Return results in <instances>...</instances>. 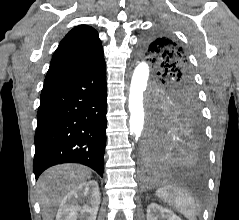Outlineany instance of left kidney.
I'll use <instances>...</instances> for the list:
<instances>
[{
  "label": "left kidney",
  "instance_id": "left-kidney-1",
  "mask_svg": "<svg viewBox=\"0 0 239 220\" xmlns=\"http://www.w3.org/2000/svg\"><path fill=\"white\" fill-rule=\"evenodd\" d=\"M181 220L175 213L165 209L156 203H151L147 207V220Z\"/></svg>",
  "mask_w": 239,
  "mask_h": 220
}]
</instances>
